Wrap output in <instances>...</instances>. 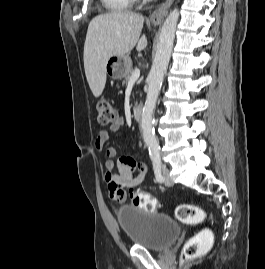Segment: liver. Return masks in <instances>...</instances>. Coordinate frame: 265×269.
<instances>
[{
	"instance_id": "1",
	"label": "liver",
	"mask_w": 265,
	"mask_h": 269,
	"mask_svg": "<svg viewBox=\"0 0 265 269\" xmlns=\"http://www.w3.org/2000/svg\"><path fill=\"white\" fill-rule=\"evenodd\" d=\"M143 24L141 14L128 11L100 14L90 21L84 44V69L95 97L104 90L110 57L126 55L135 46L137 51L146 48V36L140 37Z\"/></svg>"
}]
</instances>
